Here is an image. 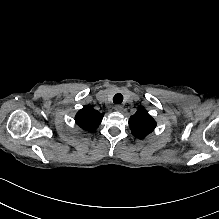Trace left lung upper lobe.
Masks as SVG:
<instances>
[{"instance_id": "obj_1", "label": "left lung upper lobe", "mask_w": 219, "mask_h": 219, "mask_svg": "<svg viewBox=\"0 0 219 219\" xmlns=\"http://www.w3.org/2000/svg\"><path fill=\"white\" fill-rule=\"evenodd\" d=\"M129 126L136 138L144 139L155 129L156 122L144 108H140L130 117Z\"/></svg>"}]
</instances>
